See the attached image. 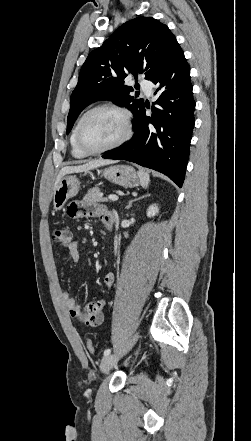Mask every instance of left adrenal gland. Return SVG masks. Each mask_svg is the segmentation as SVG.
I'll list each match as a JSON object with an SVG mask.
<instances>
[{
	"instance_id": "a2214340",
	"label": "left adrenal gland",
	"mask_w": 251,
	"mask_h": 441,
	"mask_svg": "<svg viewBox=\"0 0 251 441\" xmlns=\"http://www.w3.org/2000/svg\"><path fill=\"white\" fill-rule=\"evenodd\" d=\"M147 196H148V195H145V196H142V197H139V198H135V199H133V200H130V201L128 202L127 206H126V209L131 208L133 202H135V201H137V200H140V199H143V198H145V197H147Z\"/></svg>"
}]
</instances>
